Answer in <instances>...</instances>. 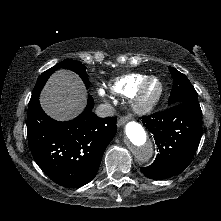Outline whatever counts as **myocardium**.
<instances>
[{
  "label": "myocardium",
  "mask_w": 221,
  "mask_h": 221,
  "mask_svg": "<svg viewBox=\"0 0 221 221\" xmlns=\"http://www.w3.org/2000/svg\"><path fill=\"white\" fill-rule=\"evenodd\" d=\"M153 81L158 82L159 89L157 93L148 98L146 96V89ZM164 93V85L160 78L156 76L147 77L136 89L132 95L131 106L134 112L137 114H147L152 112L160 103Z\"/></svg>",
  "instance_id": "myocardium-1"
}]
</instances>
